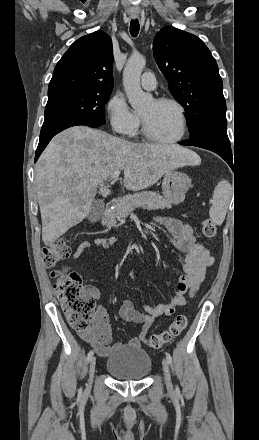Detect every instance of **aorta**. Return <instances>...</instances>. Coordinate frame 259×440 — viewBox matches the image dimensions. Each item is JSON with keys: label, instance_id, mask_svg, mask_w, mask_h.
I'll list each match as a JSON object with an SVG mask.
<instances>
[{"label": "aorta", "instance_id": "aorta-1", "mask_svg": "<svg viewBox=\"0 0 259 440\" xmlns=\"http://www.w3.org/2000/svg\"><path fill=\"white\" fill-rule=\"evenodd\" d=\"M146 65L145 58L140 54L129 57L123 71V85L131 107L134 110H142L153 100L149 93L143 92L140 86L141 73Z\"/></svg>", "mask_w": 259, "mask_h": 440}]
</instances>
